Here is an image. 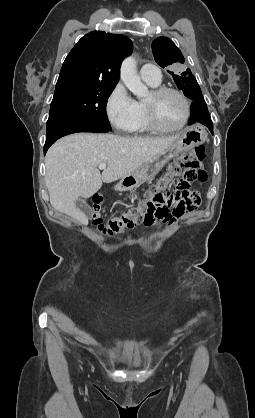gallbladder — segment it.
Returning a JSON list of instances; mask_svg holds the SVG:
<instances>
[{
    "label": "gallbladder",
    "instance_id": "bac80fb5",
    "mask_svg": "<svg viewBox=\"0 0 255 418\" xmlns=\"http://www.w3.org/2000/svg\"><path fill=\"white\" fill-rule=\"evenodd\" d=\"M75 204L76 207L80 209L88 218L92 216V210L90 209V207L84 204L82 198H79Z\"/></svg>",
    "mask_w": 255,
    "mask_h": 418
}]
</instances>
